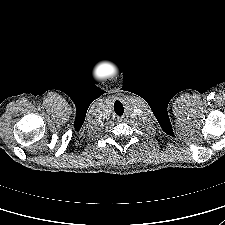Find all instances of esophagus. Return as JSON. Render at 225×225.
Segmentation results:
<instances>
[{
  "label": "esophagus",
  "mask_w": 225,
  "mask_h": 225,
  "mask_svg": "<svg viewBox=\"0 0 225 225\" xmlns=\"http://www.w3.org/2000/svg\"><path fill=\"white\" fill-rule=\"evenodd\" d=\"M125 118L124 117H120V118H118V120L121 122V121H123Z\"/></svg>",
  "instance_id": "esophagus-1"
}]
</instances>
